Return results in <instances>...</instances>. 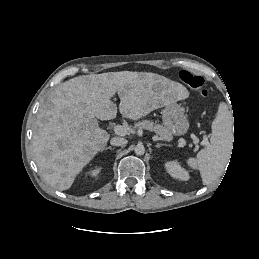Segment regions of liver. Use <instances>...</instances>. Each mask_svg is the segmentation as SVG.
<instances>
[{"label":"liver","instance_id":"obj_1","mask_svg":"<svg viewBox=\"0 0 259 259\" xmlns=\"http://www.w3.org/2000/svg\"><path fill=\"white\" fill-rule=\"evenodd\" d=\"M118 94L123 117L138 120L151 111L186 98L185 87L147 72L82 75L60 84L39 110L33 152L43 179L55 189H69L76 176L104 149L110 135L98 120L114 119Z\"/></svg>","mask_w":259,"mask_h":259}]
</instances>
